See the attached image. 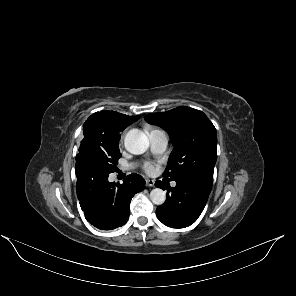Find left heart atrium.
Masks as SVG:
<instances>
[{
    "label": "left heart atrium",
    "mask_w": 296,
    "mask_h": 296,
    "mask_svg": "<svg viewBox=\"0 0 296 296\" xmlns=\"http://www.w3.org/2000/svg\"><path fill=\"white\" fill-rule=\"evenodd\" d=\"M143 169L147 174H153L156 170L154 164L149 161L143 163Z\"/></svg>",
    "instance_id": "1"
}]
</instances>
